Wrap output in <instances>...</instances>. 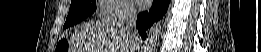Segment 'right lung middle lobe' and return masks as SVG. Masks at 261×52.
I'll return each instance as SVG.
<instances>
[{
  "label": "right lung middle lobe",
  "instance_id": "obj_1",
  "mask_svg": "<svg viewBox=\"0 0 261 52\" xmlns=\"http://www.w3.org/2000/svg\"><path fill=\"white\" fill-rule=\"evenodd\" d=\"M95 10V0H72L63 29H66L81 22L82 20L90 16Z\"/></svg>",
  "mask_w": 261,
  "mask_h": 52
}]
</instances>
